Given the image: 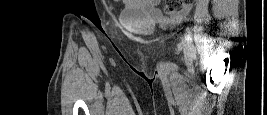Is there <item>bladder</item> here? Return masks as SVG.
Instances as JSON below:
<instances>
[{
	"mask_svg": "<svg viewBox=\"0 0 267 115\" xmlns=\"http://www.w3.org/2000/svg\"><path fill=\"white\" fill-rule=\"evenodd\" d=\"M126 27L130 31L141 35H148L153 31V27L151 25H128Z\"/></svg>",
	"mask_w": 267,
	"mask_h": 115,
	"instance_id": "bladder-1",
	"label": "bladder"
}]
</instances>
